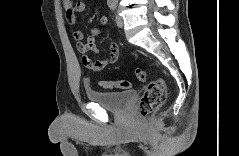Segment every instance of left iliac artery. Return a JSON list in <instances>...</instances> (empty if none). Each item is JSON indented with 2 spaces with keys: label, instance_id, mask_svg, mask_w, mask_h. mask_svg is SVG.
I'll use <instances>...</instances> for the list:
<instances>
[{
  "label": "left iliac artery",
  "instance_id": "1",
  "mask_svg": "<svg viewBox=\"0 0 239 156\" xmlns=\"http://www.w3.org/2000/svg\"><path fill=\"white\" fill-rule=\"evenodd\" d=\"M110 8L114 11L115 8H116V4H111V5H110Z\"/></svg>",
  "mask_w": 239,
  "mask_h": 156
}]
</instances>
